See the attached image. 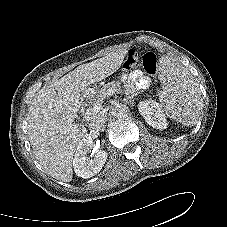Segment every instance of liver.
Returning <instances> with one entry per match:
<instances>
[{"mask_svg": "<svg viewBox=\"0 0 227 227\" xmlns=\"http://www.w3.org/2000/svg\"><path fill=\"white\" fill-rule=\"evenodd\" d=\"M127 49L112 52L92 62L79 65L58 80L45 84L29 108L28 135L33 153L47 174L70 182L72 161L87 129L73 123L85 89L112 75L121 66Z\"/></svg>", "mask_w": 227, "mask_h": 227, "instance_id": "1", "label": "liver"}]
</instances>
